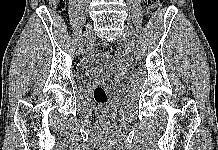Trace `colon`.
<instances>
[{"label": "colon", "instance_id": "1", "mask_svg": "<svg viewBox=\"0 0 218 150\" xmlns=\"http://www.w3.org/2000/svg\"><path fill=\"white\" fill-rule=\"evenodd\" d=\"M50 4L55 8H63L65 5V0H50ZM145 5L148 11L152 14L160 11L162 7V0H145ZM96 52L101 57L109 58L112 56L111 46L104 41L98 42L96 44ZM93 96L95 101L103 108H106L109 103V98L105 88L102 85H97L94 88Z\"/></svg>", "mask_w": 218, "mask_h": 150}]
</instances>
